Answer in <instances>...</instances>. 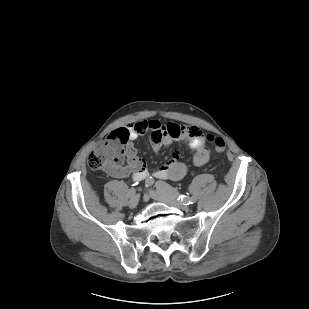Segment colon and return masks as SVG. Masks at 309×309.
Listing matches in <instances>:
<instances>
[{
  "instance_id": "obj_1",
  "label": "colon",
  "mask_w": 309,
  "mask_h": 309,
  "mask_svg": "<svg viewBox=\"0 0 309 309\" xmlns=\"http://www.w3.org/2000/svg\"><path fill=\"white\" fill-rule=\"evenodd\" d=\"M207 140L213 143L217 152L226 149V143L221 137L209 135ZM125 142L126 136L123 133L116 131L109 134L88 155V167L92 170H116L126 157Z\"/></svg>"
}]
</instances>
